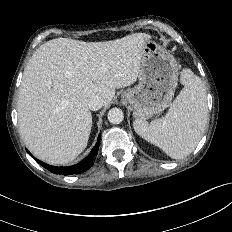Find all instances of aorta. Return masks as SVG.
<instances>
[{"mask_svg":"<svg viewBox=\"0 0 232 232\" xmlns=\"http://www.w3.org/2000/svg\"><path fill=\"white\" fill-rule=\"evenodd\" d=\"M108 120L112 124H119L124 119V113L120 108H112L108 112Z\"/></svg>","mask_w":232,"mask_h":232,"instance_id":"aorta-1","label":"aorta"}]
</instances>
